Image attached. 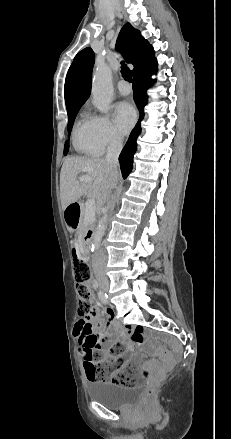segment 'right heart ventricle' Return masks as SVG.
<instances>
[{
	"label": "right heart ventricle",
	"mask_w": 231,
	"mask_h": 439,
	"mask_svg": "<svg viewBox=\"0 0 231 439\" xmlns=\"http://www.w3.org/2000/svg\"><path fill=\"white\" fill-rule=\"evenodd\" d=\"M73 146L75 150L84 155H99L90 138L89 117L83 113L73 130Z\"/></svg>",
	"instance_id": "1"
}]
</instances>
